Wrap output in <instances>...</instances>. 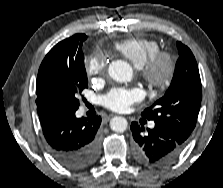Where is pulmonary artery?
<instances>
[{"label":"pulmonary artery","mask_w":223,"mask_h":188,"mask_svg":"<svg viewBox=\"0 0 223 188\" xmlns=\"http://www.w3.org/2000/svg\"><path fill=\"white\" fill-rule=\"evenodd\" d=\"M149 127H150V128H153V127H154V123H150V124H149Z\"/></svg>","instance_id":"obj_1"}]
</instances>
